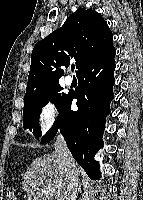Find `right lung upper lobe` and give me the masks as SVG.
<instances>
[{
    "label": "right lung upper lobe",
    "instance_id": "cb5924a9",
    "mask_svg": "<svg viewBox=\"0 0 143 200\" xmlns=\"http://www.w3.org/2000/svg\"><path fill=\"white\" fill-rule=\"evenodd\" d=\"M113 48V35L104 18L93 10L78 9L63 26L39 41L31 55L26 94L59 83L62 67L75 60L76 75L90 61Z\"/></svg>",
    "mask_w": 143,
    "mask_h": 200
}]
</instances>
